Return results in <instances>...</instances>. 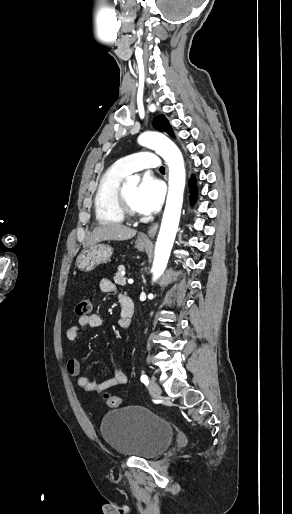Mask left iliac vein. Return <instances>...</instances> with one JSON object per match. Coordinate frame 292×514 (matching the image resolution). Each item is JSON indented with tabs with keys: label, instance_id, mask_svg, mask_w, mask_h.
Instances as JSON below:
<instances>
[{
	"label": "left iliac vein",
	"instance_id": "left-iliac-vein-1",
	"mask_svg": "<svg viewBox=\"0 0 292 514\" xmlns=\"http://www.w3.org/2000/svg\"><path fill=\"white\" fill-rule=\"evenodd\" d=\"M149 391L154 397H159L162 393L160 386L153 379L149 382Z\"/></svg>",
	"mask_w": 292,
	"mask_h": 514
}]
</instances>
